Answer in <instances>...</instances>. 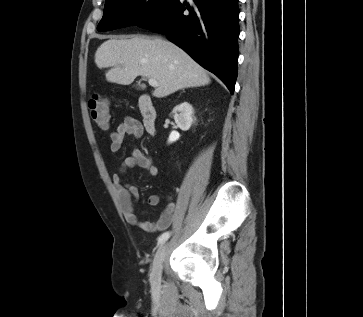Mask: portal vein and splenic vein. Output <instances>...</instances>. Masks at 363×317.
Returning <instances> with one entry per match:
<instances>
[{
	"mask_svg": "<svg viewBox=\"0 0 363 317\" xmlns=\"http://www.w3.org/2000/svg\"><path fill=\"white\" fill-rule=\"evenodd\" d=\"M148 83H149V85H151L152 87H157V86H158V82H157L155 79H153V78H149V79H148Z\"/></svg>",
	"mask_w": 363,
	"mask_h": 317,
	"instance_id": "obj_1",
	"label": "portal vein and splenic vein"
}]
</instances>
